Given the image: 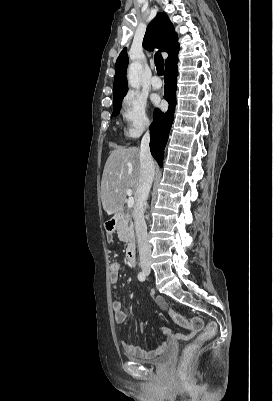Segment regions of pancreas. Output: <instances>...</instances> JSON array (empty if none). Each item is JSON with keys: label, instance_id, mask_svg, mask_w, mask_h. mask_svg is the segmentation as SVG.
<instances>
[{"label": "pancreas", "instance_id": "1", "mask_svg": "<svg viewBox=\"0 0 273 401\" xmlns=\"http://www.w3.org/2000/svg\"><path fill=\"white\" fill-rule=\"evenodd\" d=\"M117 235L119 237V241H124V243H129L131 239L134 237V225L132 221H119L117 225Z\"/></svg>", "mask_w": 273, "mask_h": 401}]
</instances>
